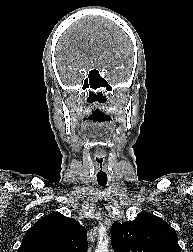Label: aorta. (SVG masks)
<instances>
[{"instance_id":"obj_1","label":"aorta","mask_w":193,"mask_h":252,"mask_svg":"<svg viewBox=\"0 0 193 252\" xmlns=\"http://www.w3.org/2000/svg\"><path fill=\"white\" fill-rule=\"evenodd\" d=\"M95 252H109L108 250V242L107 241H101L99 242Z\"/></svg>"}]
</instances>
